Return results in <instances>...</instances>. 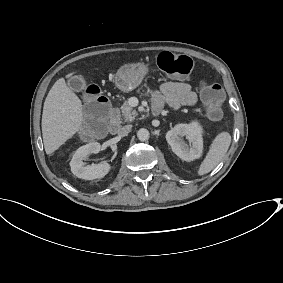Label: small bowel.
<instances>
[{
    "label": "small bowel",
    "instance_id": "1",
    "mask_svg": "<svg viewBox=\"0 0 283 283\" xmlns=\"http://www.w3.org/2000/svg\"><path fill=\"white\" fill-rule=\"evenodd\" d=\"M197 94L185 82H166L160 90L153 94L154 106L160 108L168 106L179 109L182 106H193L197 102Z\"/></svg>",
    "mask_w": 283,
    "mask_h": 283
}]
</instances>
